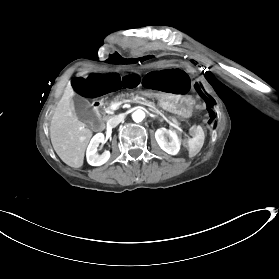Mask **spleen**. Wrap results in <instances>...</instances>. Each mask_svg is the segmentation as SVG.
<instances>
[{"label": "spleen", "instance_id": "3e777b00", "mask_svg": "<svg viewBox=\"0 0 279 279\" xmlns=\"http://www.w3.org/2000/svg\"><path fill=\"white\" fill-rule=\"evenodd\" d=\"M197 136L193 138V140H189L187 142V147L189 148L188 150V156L194 157L202 148L204 144V132L201 127H198L196 129Z\"/></svg>", "mask_w": 279, "mask_h": 279}]
</instances>
